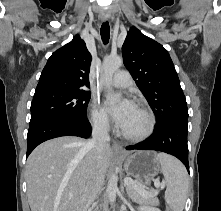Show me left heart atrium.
Wrapping results in <instances>:
<instances>
[{
	"label": "left heart atrium",
	"instance_id": "left-heart-atrium-1",
	"mask_svg": "<svg viewBox=\"0 0 221 211\" xmlns=\"http://www.w3.org/2000/svg\"><path fill=\"white\" fill-rule=\"evenodd\" d=\"M105 106L114 123L122 128L134 104L128 98H123L118 103H113L111 98H107Z\"/></svg>",
	"mask_w": 221,
	"mask_h": 211
}]
</instances>
